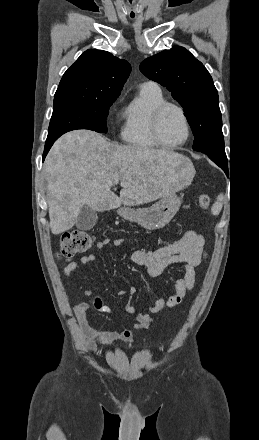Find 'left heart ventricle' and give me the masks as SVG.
Wrapping results in <instances>:
<instances>
[{
	"label": "left heart ventricle",
	"mask_w": 259,
	"mask_h": 440,
	"mask_svg": "<svg viewBox=\"0 0 259 440\" xmlns=\"http://www.w3.org/2000/svg\"><path fill=\"white\" fill-rule=\"evenodd\" d=\"M186 135V128L180 113L174 109H167L161 119L160 136L167 144L181 142Z\"/></svg>",
	"instance_id": "obj_1"
}]
</instances>
